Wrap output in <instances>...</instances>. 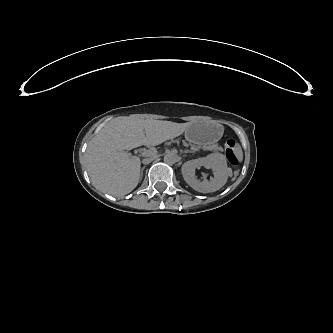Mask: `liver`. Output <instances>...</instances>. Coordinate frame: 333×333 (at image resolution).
Wrapping results in <instances>:
<instances>
[{"instance_id": "1", "label": "liver", "mask_w": 333, "mask_h": 333, "mask_svg": "<svg viewBox=\"0 0 333 333\" xmlns=\"http://www.w3.org/2000/svg\"><path fill=\"white\" fill-rule=\"evenodd\" d=\"M175 133L113 137L103 133L93 138L86 150L87 170L96 187L108 193H127L139 182V157L128 150L139 146H155L175 137Z\"/></svg>"}]
</instances>
